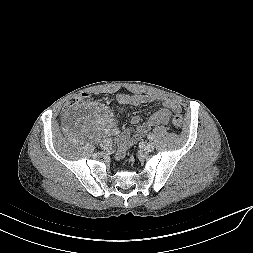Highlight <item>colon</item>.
Listing matches in <instances>:
<instances>
[{"label":"colon","mask_w":253,"mask_h":253,"mask_svg":"<svg viewBox=\"0 0 253 253\" xmlns=\"http://www.w3.org/2000/svg\"><path fill=\"white\" fill-rule=\"evenodd\" d=\"M87 99H88V96L85 93H80V94L75 95V97L67 101L66 105L62 106L61 108L62 113L64 114L71 113L76 106L87 101ZM172 124L176 128H181L183 125L182 116L178 114L174 115L172 117Z\"/></svg>","instance_id":"colon-1"}]
</instances>
